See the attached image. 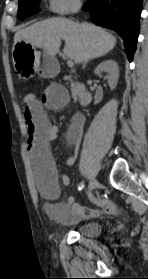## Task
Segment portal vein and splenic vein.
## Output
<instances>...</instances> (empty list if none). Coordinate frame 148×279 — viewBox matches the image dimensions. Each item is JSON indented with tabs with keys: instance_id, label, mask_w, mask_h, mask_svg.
<instances>
[{
	"instance_id": "portal-vein-and-splenic-vein-1",
	"label": "portal vein and splenic vein",
	"mask_w": 148,
	"mask_h": 279,
	"mask_svg": "<svg viewBox=\"0 0 148 279\" xmlns=\"http://www.w3.org/2000/svg\"><path fill=\"white\" fill-rule=\"evenodd\" d=\"M67 64H68L69 67H73L74 66V63H73V61L71 59H69L67 61Z\"/></svg>"
}]
</instances>
